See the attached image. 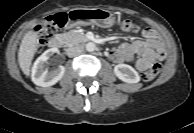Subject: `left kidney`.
Wrapping results in <instances>:
<instances>
[{"mask_svg":"<svg viewBox=\"0 0 194 133\" xmlns=\"http://www.w3.org/2000/svg\"><path fill=\"white\" fill-rule=\"evenodd\" d=\"M115 75L126 83H138L140 81V76L138 72L127 64H118L114 67Z\"/></svg>","mask_w":194,"mask_h":133,"instance_id":"obj_1","label":"left kidney"}]
</instances>
